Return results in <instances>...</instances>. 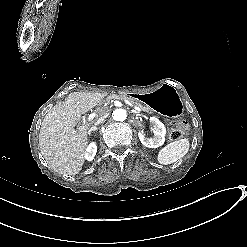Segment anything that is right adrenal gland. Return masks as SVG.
I'll return each instance as SVG.
<instances>
[{
    "mask_svg": "<svg viewBox=\"0 0 247 247\" xmlns=\"http://www.w3.org/2000/svg\"><path fill=\"white\" fill-rule=\"evenodd\" d=\"M97 130H98V128L92 127L91 130L88 132L89 136H91V133H92L93 131H97Z\"/></svg>",
    "mask_w": 247,
    "mask_h": 247,
    "instance_id": "1",
    "label": "right adrenal gland"
}]
</instances>
